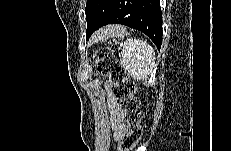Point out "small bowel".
I'll use <instances>...</instances> for the list:
<instances>
[{
  "mask_svg": "<svg viewBox=\"0 0 231 151\" xmlns=\"http://www.w3.org/2000/svg\"><path fill=\"white\" fill-rule=\"evenodd\" d=\"M111 121L114 129V138L119 140L120 137L126 132L127 126L124 124L123 113L119 104L113 98L110 101Z\"/></svg>",
  "mask_w": 231,
  "mask_h": 151,
  "instance_id": "1",
  "label": "small bowel"
}]
</instances>
